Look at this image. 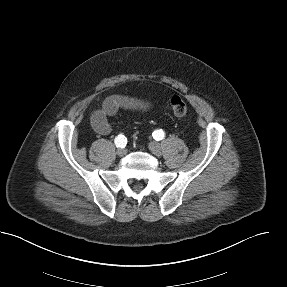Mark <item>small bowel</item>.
I'll return each instance as SVG.
<instances>
[{"mask_svg": "<svg viewBox=\"0 0 287 287\" xmlns=\"http://www.w3.org/2000/svg\"><path fill=\"white\" fill-rule=\"evenodd\" d=\"M151 106V102L143 98L126 95L109 96L104 100L102 106L92 113L90 119L92 128L100 135H107L112 130L109 118L120 110L147 111Z\"/></svg>", "mask_w": 287, "mask_h": 287, "instance_id": "obj_1", "label": "small bowel"}]
</instances>
